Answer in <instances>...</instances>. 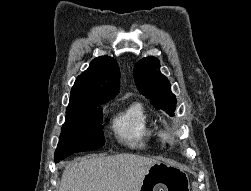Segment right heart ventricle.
<instances>
[{"instance_id":"e07e8e85","label":"right heart ventricle","mask_w":251,"mask_h":191,"mask_svg":"<svg viewBox=\"0 0 251 191\" xmlns=\"http://www.w3.org/2000/svg\"><path fill=\"white\" fill-rule=\"evenodd\" d=\"M155 128L145 104L136 99L132 100L112 123L113 134L119 144L144 153L154 152L159 147Z\"/></svg>"}]
</instances>
